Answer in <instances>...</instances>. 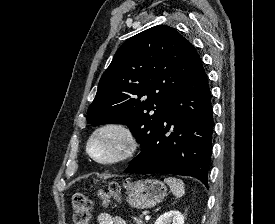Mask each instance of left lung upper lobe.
Segmentation results:
<instances>
[{"mask_svg":"<svg viewBox=\"0 0 275 224\" xmlns=\"http://www.w3.org/2000/svg\"><path fill=\"white\" fill-rule=\"evenodd\" d=\"M202 61L192 44L169 26H154L124 42L99 81L87 112L93 126L127 125L141 148L169 102Z\"/></svg>","mask_w":275,"mask_h":224,"instance_id":"obj_1","label":"left lung upper lobe"}]
</instances>
